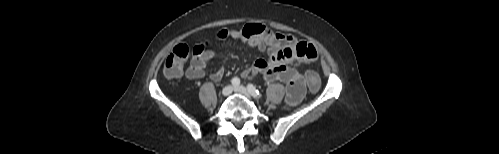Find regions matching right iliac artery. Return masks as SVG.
<instances>
[{
    "instance_id": "obj_1",
    "label": "right iliac artery",
    "mask_w": 499,
    "mask_h": 154,
    "mask_svg": "<svg viewBox=\"0 0 499 154\" xmlns=\"http://www.w3.org/2000/svg\"><path fill=\"white\" fill-rule=\"evenodd\" d=\"M231 82H232V85L236 87V86H238V85L240 84V79H239V78H237V77H234V78L231 80Z\"/></svg>"
}]
</instances>
